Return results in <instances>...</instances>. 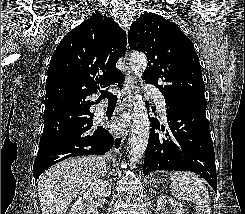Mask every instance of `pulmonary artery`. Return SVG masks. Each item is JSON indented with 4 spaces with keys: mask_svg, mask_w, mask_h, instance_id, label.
<instances>
[{
    "mask_svg": "<svg viewBox=\"0 0 245 214\" xmlns=\"http://www.w3.org/2000/svg\"><path fill=\"white\" fill-rule=\"evenodd\" d=\"M144 91L146 95L150 96L156 103L160 113L163 116H166V108H165V100L163 95L152 85V84H145ZM103 111V107L100 106L97 108V114H101Z\"/></svg>",
    "mask_w": 245,
    "mask_h": 214,
    "instance_id": "pulmonary-artery-1",
    "label": "pulmonary artery"
}]
</instances>
